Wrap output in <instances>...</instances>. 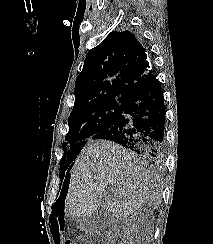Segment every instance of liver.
<instances>
[{"mask_svg": "<svg viewBox=\"0 0 213 244\" xmlns=\"http://www.w3.org/2000/svg\"><path fill=\"white\" fill-rule=\"evenodd\" d=\"M162 190L158 174L145 159L109 141H90L72 169L64 214L89 216L104 199L111 218L122 220L145 205L157 209Z\"/></svg>", "mask_w": 213, "mask_h": 244, "instance_id": "6515ba94", "label": "liver"}]
</instances>
